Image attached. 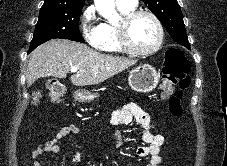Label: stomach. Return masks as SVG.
Masks as SVG:
<instances>
[{
  "label": "stomach",
  "mask_w": 227,
  "mask_h": 166,
  "mask_svg": "<svg viewBox=\"0 0 227 166\" xmlns=\"http://www.w3.org/2000/svg\"><path fill=\"white\" fill-rule=\"evenodd\" d=\"M129 85L137 92L148 93L154 90L159 82V73L149 64L136 67L130 72ZM98 95L86 90H77L74 97L79 102L93 101Z\"/></svg>",
  "instance_id": "obj_1"
}]
</instances>
